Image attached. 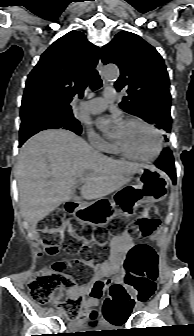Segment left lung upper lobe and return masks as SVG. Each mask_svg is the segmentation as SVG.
Instances as JSON below:
<instances>
[{"label":"left lung upper lobe","mask_w":194,"mask_h":336,"mask_svg":"<svg viewBox=\"0 0 194 336\" xmlns=\"http://www.w3.org/2000/svg\"><path fill=\"white\" fill-rule=\"evenodd\" d=\"M101 58L104 64L114 63L120 68L115 87L128 93L120 107L169 133V77L157 50L138 35L122 31L102 48Z\"/></svg>","instance_id":"1"}]
</instances>
